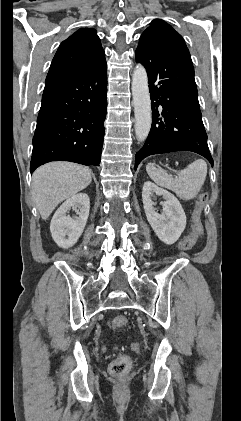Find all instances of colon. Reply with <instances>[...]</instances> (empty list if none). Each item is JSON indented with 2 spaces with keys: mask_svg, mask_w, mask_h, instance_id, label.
Listing matches in <instances>:
<instances>
[{
  "mask_svg": "<svg viewBox=\"0 0 241 421\" xmlns=\"http://www.w3.org/2000/svg\"><path fill=\"white\" fill-rule=\"evenodd\" d=\"M206 200H207V195L205 193L201 194L197 202L194 214H193L191 232L188 233L186 236H184L180 240L178 244L179 250L187 251L194 246L197 240L198 234L202 230L201 216H202V212H203V208L205 206ZM126 324H127V318L123 315H117L113 319L114 328H120V327L125 326ZM130 364H131L130 358L126 354L118 351L117 357L109 365V372L113 376L120 377L128 371V369L130 368Z\"/></svg>",
  "mask_w": 241,
  "mask_h": 421,
  "instance_id": "5ec220e1",
  "label": "colon"
}]
</instances>
